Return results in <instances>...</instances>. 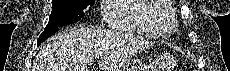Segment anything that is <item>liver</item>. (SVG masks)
Returning <instances> with one entry per match:
<instances>
[{
    "label": "liver",
    "instance_id": "1",
    "mask_svg": "<svg viewBox=\"0 0 230 71\" xmlns=\"http://www.w3.org/2000/svg\"><path fill=\"white\" fill-rule=\"evenodd\" d=\"M152 46L141 36L74 27L47 40L33 71H88L97 54L101 71H119L132 57Z\"/></svg>",
    "mask_w": 230,
    "mask_h": 71
}]
</instances>
